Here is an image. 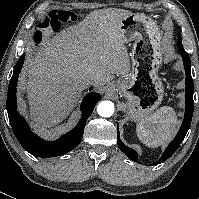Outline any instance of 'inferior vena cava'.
<instances>
[{"mask_svg": "<svg viewBox=\"0 0 199 199\" xmlns=\"http://www.w3.org/2000/svg\"><path fill=\"white\" fill-rule=\"evenodd\" d=\"M95 83H96V79H94V78L87 79L84 82L86 87H88L89 85H94Z\"/></svg>", "mask_w": 199, "mask_h": 199, "instance_id": "602c4592", "label": "inferior vena cava"}]
</instances>
